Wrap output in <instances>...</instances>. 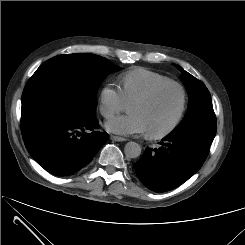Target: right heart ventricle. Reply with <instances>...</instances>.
Listing matches in <instances>:
<instances>
[{
  "mask_svg": "<svg viewBox=\"0 0 245 245\" xmlns=\"http://www.w3.org/2000/svg\"><path fill=\"white\" fill-rule=\"evenodd\" d=\"M169 77L144 68H136L125 72L120 79L121 93L126 103L144 94L153 86L171 82Z\"/></svg>",
  "mask_w": 245,
  "mask_h": 245,
  "instance_id": "1",
  "label": "right heart ventricle"
}]
</instances>
